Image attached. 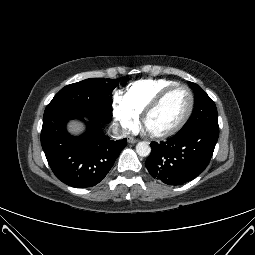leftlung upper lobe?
Here are the masks:
<instances>
[{
  "instance_id": "1",
  "label": "left lung upper lobe",
  "mask_w": 255,
  "mask_h": 255,
  "mask_svg": "<svg viewBox=\"0 0 255 255\" xmlns=\"http://www.w3.org/2000/svg\"><path fill=\"white\" fill-rule=\"evenodd\" d=\"M189 85L195 93V107L191 117L180 131L219 129L217 109L213 100L197 84L189 82Z\"/></svg>"
}]
</instances>
